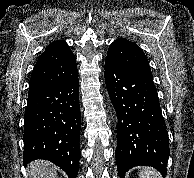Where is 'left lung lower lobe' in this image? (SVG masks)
<instances>
[{"label": "left lung lower lobe", "instance_id": "obj_1", "mask_svg": "<svg viewBox=\"0 0 194 178\" xmlns=\"http://www.w3.org/2000/svg\"><path fill=\"white\" fill-rule=\"evenodd\" d=\"M104 76L118 116L115 156L120 177L138 165L152 166L164 177L169 142L153 79L109 59Z\"/></svg>", "mask_w": 194, "mask_h": 178}]
</instances>
